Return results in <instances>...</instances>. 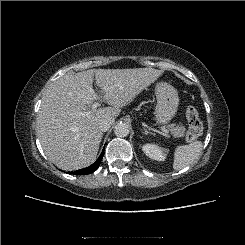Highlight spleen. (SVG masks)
I'll return each mask as SVG.
<instances>
[{"mask_svg": "<svg viewBox=\"0 0 245 245\" xmlns=\"http://www.w3.org/2000/svg\"><path fill=\"white\" fill-rule=\"evenodd\" d=\"M202 150V142L194 141L187 145H181L174 150L173 169L181 170L195 161Z\"/></svg>", "mask_w": 245, "mask_h": 245, "instance_id": "1", "label": "spleen"}]
</instances>
